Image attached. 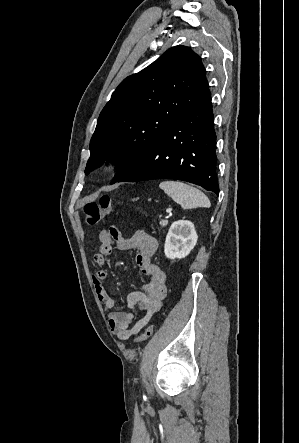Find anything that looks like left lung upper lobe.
<instances>
[{
    "instance_id": "1",
    "label": "left lung upper lobe",
    "mask_w": 299,
    "mask_h": 443,
    "mask_svg": "<svg viewBox=\"0 0 299 443\" xmlns=\"http://www.w3.org/2000/svg\"><path fill=\"white\" fill-rule=\"evenodd\" d=\"M208 88L200 57L174 46L142 71L124 79L98 118L85 174L107 160L130 171Z\"/></svg>"
}]
</instances>
